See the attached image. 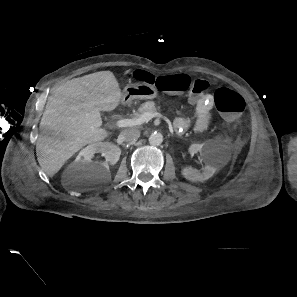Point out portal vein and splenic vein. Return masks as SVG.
<instances>
[{
	"label": "portal vein and splenic vein",
	"instance_id": "portal-vein-and-splenic-vein-1",
	"mask_svg": "<svg viewBox=\"0 0 297 297\" xmlns=\"http://www.w3.org/2000/svg\"><path fill=\"white\" fill-rule=\"evenodd\" d=\"M154 117H163L162 114L158 112H145L137 118H124L116 121L115 126L119 128L141 125L145 122L150 121Z\"/></svg>",
	"mask_w": 297,
	"mask_h": 297
}]
</instances>
